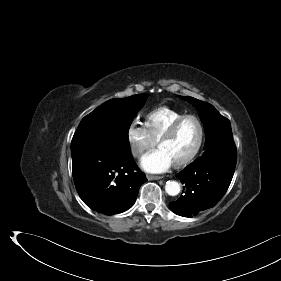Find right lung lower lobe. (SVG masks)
Segmentation results:
<instances>
[{
    "instance_id": "1",
    "label": "right lung lower lobe",
    "mask_w": 281,
    "mask_h": 281,
    "mask_svg": "<svg viewBox=\"0 0 281 281\" xmlns=\"http://www.w3.org/2000/svg\"><path fill=\"white\" fill-rule=\"evenodd\" d=\"M76 190L91 209L105 215L128 210L147 181L131 151L88 152L72 157Z\"/></svg>"
}]
</instances>
